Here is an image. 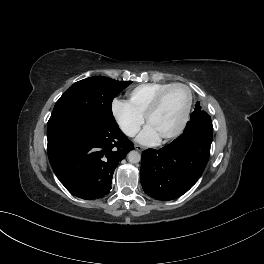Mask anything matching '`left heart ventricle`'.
Returning <instances> with one entry per match:
<instances>
[{"label": "left heart ventricle", "mask_w": 264, "mask_h": 264, "mask_svg": "<svg viewBox=\"0 0 264 264\" xmlns=\"http://www.w3.org/2000/svg\"><path fill=\"white\" fill-rule=\"evenodd\" d=\"M187 102L185 89L175 87L164 96L159 108L149 119L150 125L161 137L171 132L179 123Z\"/></svg>", "instance_id": "b2bd125f"}]
</instances>
